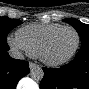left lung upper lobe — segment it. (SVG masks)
I'll list each match as a JSON object with an SVG mask.
<instances>
[{
	"label": "left lung upper lobe",
	"instance_id": "1",
	"mask_svg": "<svg viewBox=\"0 0 89 89\" xmlns=\"http://www.w3.org/2000/svg\"><path fill=\"white\" fill-rule=\"evenodd\" d=\"M63 21L71 24L75 28L80 36L81 44L89 42V25L84 24L74 18L64 19Z\"/></svg>",
	"mask_w": 89,
	"mask_h": 89
}]
</instances>
